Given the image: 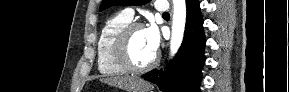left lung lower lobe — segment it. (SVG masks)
<instances>
[{"label":"left lung lower lobe","instance_id":"obj_1","mask_svg":"<svg viewBox=\"0 0 289 92\" xmlns=\"http://www.w3.org/2000/svg\"><path fill=\"white\" fill-rule=\"evenodd\" d=\"M187 20L182 45L170 62L168 71L154 69L142 78L156 84L163 92H200L201 70L205 57V35L200 3L186 0Z\"/></svg>","mask_w":289,"mask_h":92}]
</instances>
